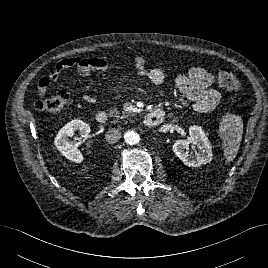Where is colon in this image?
I'll return each instance as SVG.
<instances>
[{
  "instance_id": "5ec220e1",
  "label": "colon",
  "mask_w": 268,
  "mask_h": 268,
  "mask_svg": "<svg viewBox=\"0 0 268 268\" xmlns=\"http://www.w3.org/2000/svg\"><path fill=\"white\" fill-rule=\"evenodd\" d=\"M218 83L222 88L228 91H236L240 88V81L237 76L228 68H222L217 74ZM42 90V87H40ZM69 102V95L65 91H59L56 94L38 99L35 108L39 112L56 113L65 109Z\"/></svg>"
}]
</instances>
